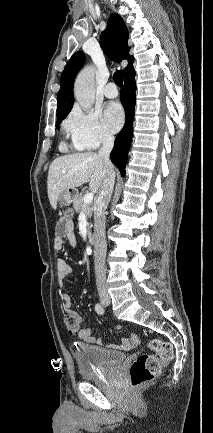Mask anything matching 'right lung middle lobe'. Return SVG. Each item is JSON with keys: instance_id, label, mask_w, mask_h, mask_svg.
Wrapping results in <instances>:
<instances>
[{"instance_id": "obj_1", "label": "right lung middle lobe", "mask_w": 213, "mask_h": 433, "mask_svg": "<svg viewBox=\"0 0 213 433\" xmlns=\"http://www.w3.org/2000/svg\"><path fill=\"white\" fill-rule=\"evenodd\" d=\"M63 119L57 120L56 126H58Z\"/></svg>"}]
</instances>
